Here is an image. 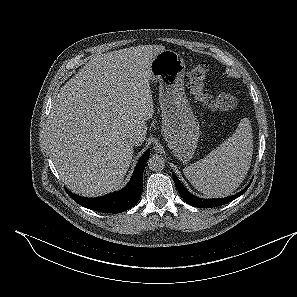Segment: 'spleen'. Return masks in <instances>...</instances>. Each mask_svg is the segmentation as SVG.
<instances>
[{"label":"spleen","instance_id":"3e777b00","mask_svg":"<svg viewBox=\"0 0 297 297\" xmlns=\"http://www.w3.org/2000/svg\"><path fill=\"white\" fill-rule=\"evenodd\" d=\"M252 127L243 118L235 132L203 159L183 169L185 177L210 197L231 195L243 182L253 154Z\"/></svg>","mask_w":297,"mask_h":297}]
</instances>
